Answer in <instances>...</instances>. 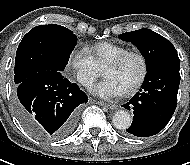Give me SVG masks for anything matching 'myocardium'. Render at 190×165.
Instances as JSON below:
<instances>
[{"mask_svg": "<svg viewBox=\"0 0 190 165\" xmlns=\"http://www.w3.org/2000/svg\"><path fill=\"white\" fill-rule=\"evenodd\" d=\"M129 57H137L139 59V61L141 63V74H140L138 80L135 82V84H133L130 88H128L127 90H125L123 92L125 95H131V94L135 93L144 84V82H145V80L147 78V75H148V71H149V66H148V61H147L146 56L140 51L128 50V51L120 54L116 58L112 59L111 61H109L105 65V67H119Z\"/></svg>", "mask_w": 190, "mask_h": 165, "instance_id": "1", "label": "myocardium"}]
</instances>
